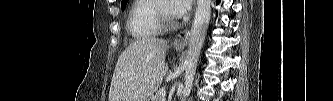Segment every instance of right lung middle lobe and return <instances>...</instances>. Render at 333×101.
Segmentation results:
<instances>
[{
	"mask_svg": "<svg viewBox=\"0 0 333 101\" xmlns=\"http://www.w3.org/2000/svg\"><path fill=\"white\" fill-rule=\"evenodd\" d=\"M126 3H127V2L121 4L122 10H124V8H125V6H126Z\"/></svg>",
	"mask_w": 333,
	"mask_h": 101,
	"instance_id": "right-lung-middle-lobe-1",
	"label": "right lung middle lobe"
}]
</instances>
